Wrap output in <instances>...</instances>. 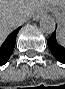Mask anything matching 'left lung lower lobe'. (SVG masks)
Here are the masks:
<instances>
[{
    "label": "left lung lower lobe",
    "instance_id": "1",
    "mask_svg": "<svg viewBox=\"0 0 65 89\" xmlns=\"http://www.w3.org/2000/svg\"><path fill=\"white\" fill-rule=\"evenodd\" d=\"M47 44L55 58L59 62L65 63V45L62 46L57 43L55 32H53L50 38L47 40Z\"/></svg>",
    "mask_w": 65,
    "mask_h": 89
}]
</instances>
